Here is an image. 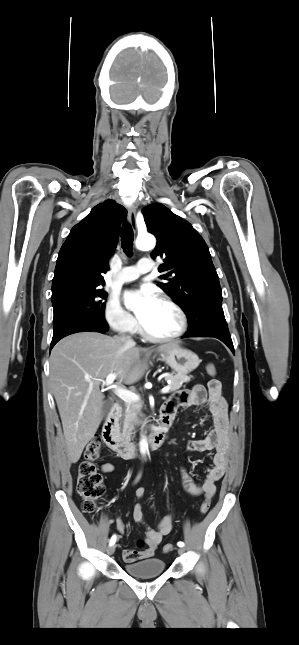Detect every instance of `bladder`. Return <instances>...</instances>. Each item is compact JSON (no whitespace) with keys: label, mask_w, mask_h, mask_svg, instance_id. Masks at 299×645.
Returning a JSON list of instances; mask_svg holds the SVG:
<instances>
[{"label":"bladder","mask_w":299,"mask_h":645,"mask_svg":"<svg viewBox=\"0 0 299 645\" xmlns=\"http://www.w3.org/2000/svg\"><path fill=\"white\" fill-rule=\"evenodd\" d=\"M165 569V561L155 557L124 565V571L128 575L137 578L159 576Z\"/></svg>","instance_id":"bladder-1"}]
</instances>
